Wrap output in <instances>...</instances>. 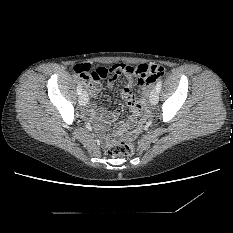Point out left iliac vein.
<instances>
[{"mask_svg":"<svg viewBox=\"0 0 233 233\" xmlns=\"http://www.w3.org/2000/svg\"><path fill=\"white\" fill-rule=\"evenodd\" d=\"M159 99V92L156 89H153L149 96V101L151 104H156Z\"/></svg>","mask_w":233,"mask_h":233,"instance_id":"obj_1","label":"left iliac vein"}]
</instances>
